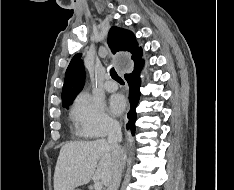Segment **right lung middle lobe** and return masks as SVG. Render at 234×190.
Segmentation results:
<instances>
[{"instance_id":"1","label":"right lung middle lobe","mask_w":234,"mask_h":190,"mask_svg":"<svg viewBox=\"0 0 234 190\" xmlns=\"http://www.w3.org/2000/svg\"><path fill=\"white\" fill-rule=\"evenodd\" d=\"M71 103H72V101L68 102V103H65V104H62V105H63V107H68Z\"/></svg>"}]
</instances>
